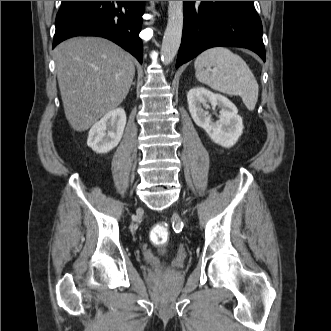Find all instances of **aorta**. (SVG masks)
I'll return each instance as SVG.
<instances>
[{
	"label": "aorta",
	"mask_w": 331,
	"mask_h": 331,
	"mask_svg": "<svg viewBox=\"0 0 331 331\" xmlns=\"http://www.w3.org/2000/svg\"><path fill=\"white\" fill-rule=\"evenodd\" d=\"M183 1H168V23L161 46V60L168 65L176 56L183 30Z\"/></svg>",
	"instance_id": "1"
}]
</instances>
